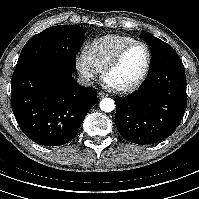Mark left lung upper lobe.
I'll use <instances>...</instances> for the list:
<instances>
[{"mask_svg": "<svg viewBox=\"0 0 199 199\" xmlns=\"http://www.w3.org/2000/svg\"><path fill=\"white\" fill-rule=\"evenodd\" d=\"M141 37L147 42L152 54L150 70L155 69L157 66L169 59L178 57L176 52L169 44L163 42L157 37H154L152 34L148 32H142Z\"/></svg>", "mask_w": 199, "mask_h": 199, "instance_id": "1", "label": "left lung upper lobe"}]
</instances>
